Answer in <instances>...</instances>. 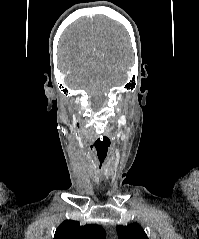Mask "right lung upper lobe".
Listing matches in <instances>:
<instances>
[{
  "label": "right lung upper lobe",
  "mask_w": 199,
  "mask_h": 239,
  "mask_svg": "<svg viewBox=\"0 0 199 239\" xmlns=\"http://www.w3.org/2000/svg\"><path fill=\"white\" fill-rule=\"evenodd\" d=\"M54 239H106V233L99 225L80 226L77 221L66 220L57 228Z\"/></svg>",
  "instance_id": "right-lung-upper-lobe-1"
}]
</instances>
